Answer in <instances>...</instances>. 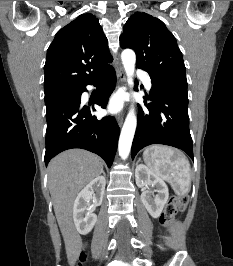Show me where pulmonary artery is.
I'll return each mask as SVG.
<instances>
[{"instance_id": "1", "label": "pulmonary artery", "mask_w": 233, "mask_h": 266, "mask_svg": "<svg viewBox=\"0 0 233 266\" xmlns=\"http://www.w3.org/2000/svg\"><path fill=\"white\" fill-rule=\"evenodd\" d=\"M138 77L143 81L145 87L150 90L152 84L149 75L145 72L140 71L138 72Z\"/></svg>"}]
</instances>
